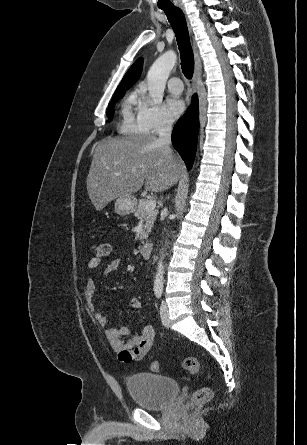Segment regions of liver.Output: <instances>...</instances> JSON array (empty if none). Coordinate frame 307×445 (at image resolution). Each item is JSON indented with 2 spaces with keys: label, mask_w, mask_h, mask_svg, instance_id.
I'll return each instance as SVG.
<instances>
[{
  "label": "liver",
  "mask_w": 307,
  "mask_h": 445,
  "mask_svg": "<svg viewBox=\"0 0 307 445\" xmlns=\"http://www.w3.org/2000/svg\"><path fill=\"white\" fill-rule=\"evenodd\" d=\"M181 168L179 156L169 144L158 142L155 134L107 136L96 142L87 192L96 210H102L118 196H132L143 184L154 192L169 188L178 180Z\"/></svg>",
  "instance_id": "obj_1"
}]
</instances>
